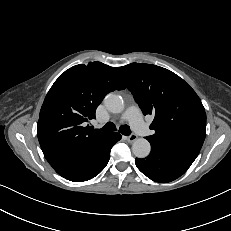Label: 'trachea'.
Here are the masks:
<instances>
[{
  "label": "trachea",
  "instance_id": "obj_1",
  "mask_svg": "<svg viewBox=\"0 0 231 231\" xmlns=\"http://www.w3.org/2000/svg\"><path fill=\"white\" fill-rule=\"evenodd\" d=\"M101 130L104 132H112L116 130V126L114 125V123L108 122L107 124H105V126H103ZM119 132L125 136H129L131 134V130L128 125L120 126Z\"/></svg>",
  "mask_w": 231,
  "mask_h": 231
}]
</instances>
